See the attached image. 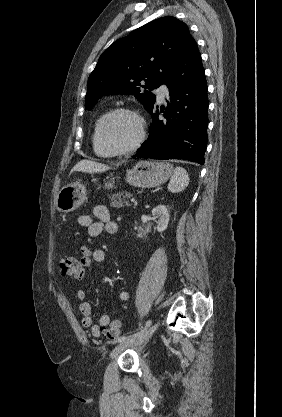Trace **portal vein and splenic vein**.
<instances>
[{
    "instance_id": "portal-vein-and-splenic-vein-1",
    "label": "portal vein and splenic vein",
    "mask_w": 282,
    "mask_h": 417,
    "mask_svg": "<svg viewBox=\"0 0 282 417\" xmlns=\"http://www.w3.org/2000/svg\"><path fill=\"white\" fill-rule=\"evenodd\" d=\"M131 200H132L133 203H136L137 202V199L136 198H131Z\"/></svg>"
}]
</instances>
